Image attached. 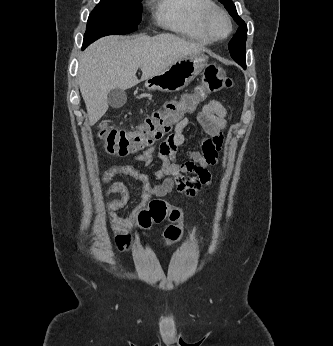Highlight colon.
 Returning <instances> with one entry per match:
<instances>
[{"instance_id": "5ec220e1", "label": "colon", "mask_w": 333, "mask_h": 346, "mask_svg": "<svg viewBox=\"0 0 333 346\" xmlns=\"http://www.w3.org/2000/svg\"><path fill=\"white\" fill-rule=\"evenodd\" d=\"M230 86L231 80L223 69L216 64H209L204 70L202 82L192 92L166 102L134 129H118L103 124L99 130L100 138L106 151L112 155L125 156L137 152L162 139L173 124L194 112L209 94ZM181 216L179 209L169 206L165 201L152 200L139 210L137 220L142 228L169 220L173 224L166 229L165 237L169 242H176L182 234L178 225Z\"/></svg>"}]
</instances>
